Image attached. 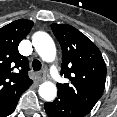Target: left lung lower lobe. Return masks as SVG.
Segmentation results:
<instances>
[{"label":"left lung lower lobe","mask_w":117,"mask_h":117,"mask_svg":"<svg viewBox=\"0 0 117 117\" xmlns=\"http://www.w3.org/2000/svg\"><path fill=\"white\" fill-rule=\"evenodd\" d=\"M45 110L49 117H84L89 113L61 95L46 102Z\"/></svg>","instance_id":"obj_1"}]
</instances>
